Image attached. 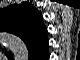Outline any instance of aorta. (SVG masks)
<instances>
[{
    "mask_svg": "<svg viewBox=\"0 0 80 60\" xmlns=\"http://www.w3.org/2000/svg\"><path fill=\"white\" fill-rule=\"evenodd\" d=\"M5 45L14 53V54H23L27 57V47L25 43L17 36L11 34L4 35Z\"/></svg>",
    "mask_w": 80,
    "mask_h": 60,
    "instance_id": "aorta-1",
    "label": "aorta"
}]
</instances>
